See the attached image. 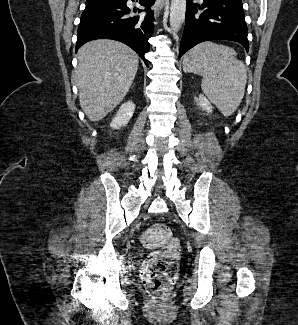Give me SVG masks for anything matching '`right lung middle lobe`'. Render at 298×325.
Masks as SVG:
<instances>
[{
	"instance_id": "dd1d6c3e",
	"label": "right lung middle lobe",
	"mask_w": 298,
	"mask_h": 325,
	"mask_svg": "<svg viewBox=\"0 0 298 325\" xmlns=\"http://www.w3.org/2000/svg\"><path fill=\"white\" fill-rule=\"evenodd\" d=\"M114 0H86V5L87 4H97V3H105V2H110Z\"/></svg>"
}]
</instances>
